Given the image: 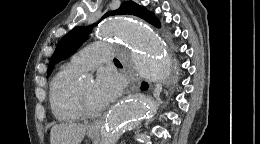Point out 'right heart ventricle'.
Wrapping results in <instances>:
<instances>
[{
    "mask_svg": "<svg viewBox=\"0 0 260 144\" xmlns=\"http://www.w3.org/2000/svg\"><path fill=\"white\" fill-rule=\"evenodd\" d=\"M82 73L70 62L64 64L51 81L50 105L54 116L61 122H74L81 118L75 105V94Z\"/></svg>",
    "mask_w": 260,
    "mask_h": 144,
    "instance_id": "1",
    "label": "right heart ventricle"
}]
</instances>
